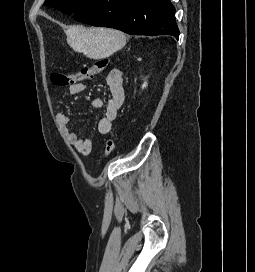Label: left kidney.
<instances>
[{"label":"left kidney","mask_w":255,"mask_h":272,"mask_svg":"<svg viewBox=\"0 0 255 272\" xmlns=\"http://www.w3.org/2000/svg\"><path fill=\"white\" fill-rule=\"evenodd\" d=\"M146 86H147V83L144 82L143 85H142V88H146Z\"/></svg>","instance_id":"obj_1"}]
</instances>
